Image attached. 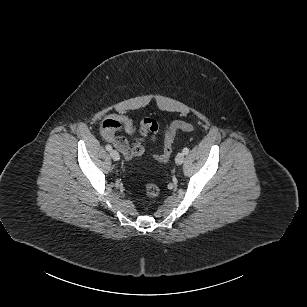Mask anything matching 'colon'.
I'll return each mask as SVG.
<instances>
[{"label": "colon", "instance_id": "1", "mask_svg": "<svg viewBox=\"0 0 307 307\" xmlns=\"http://www.w3.org/2000/svg\"><path fill=\"white\" fill-rule=\"evenodd\" d=\"M178 130L192 132L195 127L184 121H174L172 122L165 131L164 146L161 154L155 155L154 158L161 163H166L172 154V147L174 143L175 134ZM145 192L148 197H156L159 194V188L155 184H147L145 186Z\"/></svg>", "mask_w": 307, "mask_h": 307}]
</instances>
